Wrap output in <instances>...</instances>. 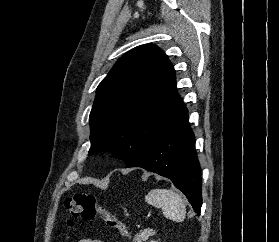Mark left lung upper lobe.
<instances>
[{
	"label": "left lung upper lobe",
	"instance_id": "1",
	"mask_svg": "<svg viewBox=\"0 0 279 242\" xmlns=\"http://www.w3.org/2000/svg\"><path fill=\"white\" fill-rule=\"evenodd\" d=\"M175 70L155 45L122 56L97 87L89 155L105 150L125 164L141 155L183 114Z\"/></svg>",
	"mask_w": 279,
	"mask_h": 242
}]
</instances>
